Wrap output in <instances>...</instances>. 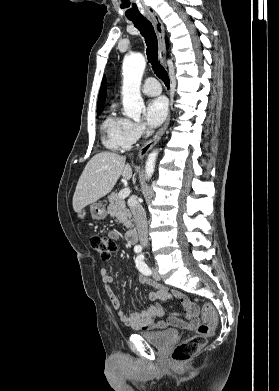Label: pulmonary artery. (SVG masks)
Returning <instances> with one entry per match:
<instances>
[{
    "label": "pulmonary artery",
    "mask_w": 279,
    "mask_h": 391,
    "mask_svg": "<svg viewBox=\"0 0 279 391\" xmlns=\"http://www.w3.org/2000/svg\"><path fill=\"white\" fill-rule=\"evenodd\" d=\"M142 91L147 95H158L161 93V86L156 79L150 77L145 80Z\"/></svg>",
    "instance_id": "pulmonary-artery-1"
}]
</instances>
